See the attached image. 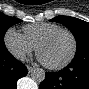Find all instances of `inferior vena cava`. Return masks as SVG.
Masks as SVG:
<instances>
[{"label":"inferior vena cava","mask_w":89,"mask_h":89,"mask_svg":"<svg viewBox=\"0 0 89 89\" xmlns=\"http://www.w3.org/2000/svg\"><path fill=\"white\" fill-rule=\"evenodd\" d=\"M24 59H25L24 56H21V57H20V60H21V61H24Z\"/></svg>","instance_id":"inferior-vena-cava-1"}]
</instances>
